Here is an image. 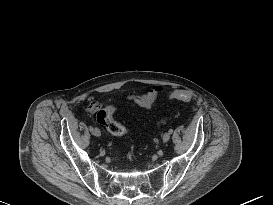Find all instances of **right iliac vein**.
I'll use <instances>...</instances> for the list:
<instances>
[{"label": "right iliac vein", "instance_id": "right-iliac-vein-1", "mask_svg": "<svg viewBox=\"0 0 273 205\" xmlns=\"http://www.w3.org/2000/svg\"><path fill=\"white\" fill-rule=\"evenodd\" d=\"M92 134L97 137L101 135L100 130L98 128H93Z\"/></svg>", "mask_w": 273, "mask_h": 205}]
</instances>
